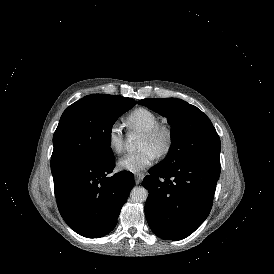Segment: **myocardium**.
Here are the masks:
<instances>
[{"label":"myocardium","instance_id":"obj_1","mask_svg":"<svg viewBox=\"0 0 274 274\" xmlns=\"http://www.w3.org/2000/svg\"><path fill=\"white\" fill-rule=\"evenodd\" d=\"M144 136H146L148 139L152 141L158 139L163 140V144L156 153L158 157H163L170 153V151L172 150L174 144V135L170 128L158 125L157 127L144 132Z\"/></svg>","mask_w":274,"mask_h":274}]
</instances>
